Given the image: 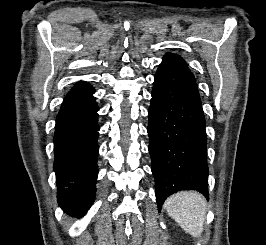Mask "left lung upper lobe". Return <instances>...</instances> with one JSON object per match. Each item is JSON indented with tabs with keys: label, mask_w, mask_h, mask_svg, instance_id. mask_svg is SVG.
<instances>
[{
	"label": "left lung upper lobe",
	"mask_w": 266,
	"mask_h": 245,
	"mask_svg": "<svg viewBox=\"0 0 266 245\" xmlns=\"http://www.w3.org/2000/svg\"><path fill=\"white\" fill-rule=\"evenodd\" d=\"M164 57H171V58H174V59H177V60L184 61L180 56L172 54V53H167Z\"/></svg>",
	"instance_id": "left-lung-upper-lobe-1"
}]
</instances>
